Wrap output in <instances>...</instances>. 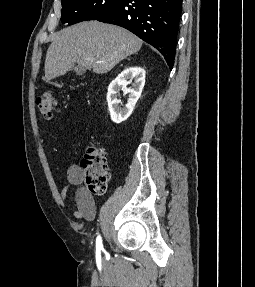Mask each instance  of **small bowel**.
Segmentation results:
<instances>
[{
    "label": "small bowel",
    "mask_w": 255,
    "mask_h": 287,
    "mask_svg": "<svg viewBox=\"0 0 255 287\" xmlns=\"http://www.w3.org/2000/svg\"><path fill=\"white\" fill-rule=\"evenodd\" d=\"M67 181L69 186L64 187L60 192L61 200L70 205L68 200L70 195V186L76 187L75 191V210L74 216L77 219L93 220L96 214V205L94 197L84 186V172L78 165H71L67 169Z\"/></svg>",
    "instance_id": "1"
}]
</instances>
